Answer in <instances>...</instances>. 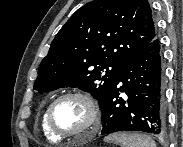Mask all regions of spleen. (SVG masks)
<instances>
[{"label": "spleen", "mask_w": 183, "mask_h": 147, "mask_svg": "<svg viewBox=\"0 0 183 147\" xmlns=\"http://www.w3.org/2000/svg\"><path fill=\"white\" fill-rule=\"evenodd\" d=\"M105 141L119 144L121 147H156L152 138L139 133H114L107 136Z\"/></svg>", "instance_id": "obj_1"}]
</instances>
